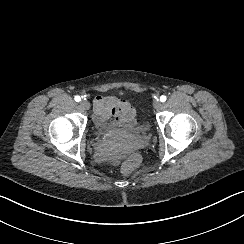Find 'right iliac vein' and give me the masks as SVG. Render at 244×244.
I'll list each match as a JSON object with an SVG mask.
<instances>
[{"label":"right iliac vein","mask_w":244,"mask_h":244,"mask_svg":"<svg viewBox=\"0 0 244 244\" xmlns=\"http://www.w3.org/2000/svg\"><path fill=\"white\" fill-rule=\"evenodd\" d=\"M80 107H81L82 109H86V110H88V109H90V103H89L87 100H82V101L80 102Z\"/></svg>","instance_id":"obj_1"}]
</instances>
